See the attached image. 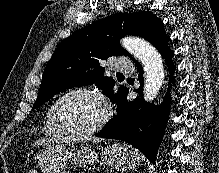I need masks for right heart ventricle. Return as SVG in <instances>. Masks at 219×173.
<instances>
[{"label": "right heart ventricle", "instance_id": "e07e8e85", "mask_svg": "<svg viewBox=\"0 0 219 173\" xmlns=\"http://www.w3.org/2000/svg\"><path fill=\"white\" fill-rule=\"evenodd\" d=\"M53 105L54 102H52L47 108L44 122V132L51 136H62L63 133L57 128L53 120Z\"/></svg>", "mask_w": 219, "mask_h": 173}]
</instances>
